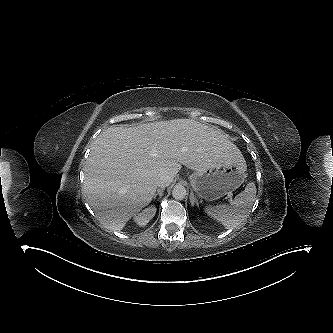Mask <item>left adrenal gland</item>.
Returning a JSON list of instances; mask_svg holds the SVG:
<instances>
[{"instance_id": "1", "label": "left adrenal gland", "mask_w": 333, "mask_h": 333, "mask_svg": "<svg viewBox=\"0 0 333 333\" xmlns=\"http://www.w3.org/2000/svg\"><path fill=\"white\" fill-rule=\"evenodd\" d=\"M190 202L192 206L196 205L197 207H199V203L193 193H191L190 195Z\"/></svg>"}]
</instances>
